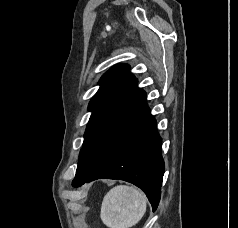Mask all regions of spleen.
Wrapping results in <instances>:
<instances>
[{"label": "spleen", "mask_w": 238, "mask_h": 228, "mask_svg": "<svg viewBox=\"0 0 238 228\" xmlns=\"http://www.w3.org/2000/svg\"><path fill=\"white\" fill-rule=\"evenodd\" d=\"M146 195L133 186L118 185L103 198L100 218L109 228H131L144 216Z\"/></svg>", "instance_id": "spleen-1"}]
</instances>
